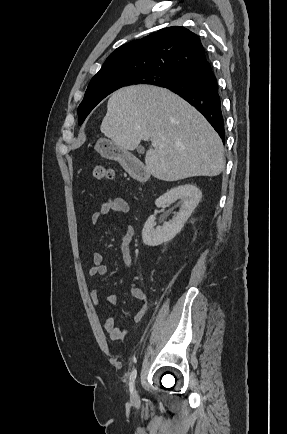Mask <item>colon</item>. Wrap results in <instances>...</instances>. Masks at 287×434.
I'll list each match as a JSON object with an SVG mask.
<instances>
[{
    "label": "colon",
    "mask_w": 287,
    "mask_h": 434,
    "mask_svg": "<svg viewBox=\"0 0 287 434\" xmlns=\"http://www.w3.org/2000/svg\"><path fill=\"white\" fill-rule=\"evenodd\" d=\"M113 171L105 165H96L93 167V177L95 180L112 179Z\"/></svg>",
    "instance_id": "colon-1"
}]
</instances>
